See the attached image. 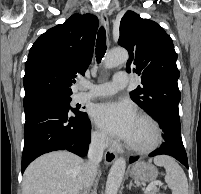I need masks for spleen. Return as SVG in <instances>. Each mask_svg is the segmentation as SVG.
Here are the masks:
<instances>
[{"instance_id": "3e777b00", "label": "spleen", "mask_w": 201, "mask_h": 194, "mask_svg": "<svg viewBox=\"0 0 201 194\" xmlns=\"http://www.w3.org/2000/svg\"><path fill=\"white\" fill-rule=\"evenodd\" d=\"M155 165L162 166L166 170L165 181L172 191V194H188V181L183 169L171 157L160 155L149 159Z\"/></svg>"}]
</instances>
